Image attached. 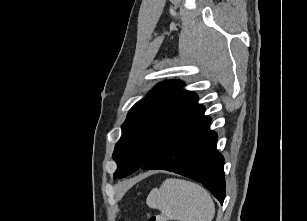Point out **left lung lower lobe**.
<instances>
[{
	"label": "left lung lower lobe",
	"instance_id": "obj_1",
	"mask_svg": "<svg viewBox=\"0 0 307 221\" xmlns=\"http://www.w3.org/2000/svg\"><path fill=\"white\" fill-rule=\"evenodd\" d=\"M210 118L170 141L142 169L168 170L202 183L221 204L225 198L224 158L217 151V135L209 130Z\"/></svg>",
	"mask_w": 307,
	"mask_h": 221
}]
</instances>
